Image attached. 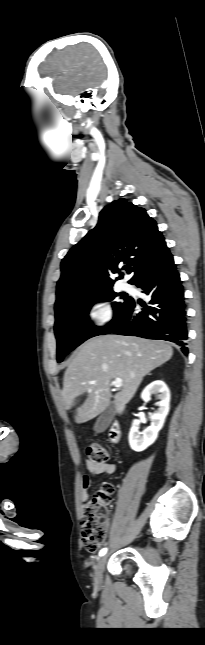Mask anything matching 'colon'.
I'll return each mask as SVG.
<instances>
[{
  "label": "colon",
  "instance_id": "obj_1",
  "mask_svg": "<svg viewBox=\"0 0 205 645\" xmlns=\"http://www.w3.org/2000/svg\"><path fill=\"white\" fill-rule=\"evenodd\" d=\"M86 454L88 461L95 465L105 464L109 459L107 449L98 443L88 445ZM113 492V486L106 483L83 504L81 538L84 548L89 553L96 552L106 539L108 505Z\"/></svg>",
  "mask_w": 205,
  "mask_h": 645
}]
</instances>
